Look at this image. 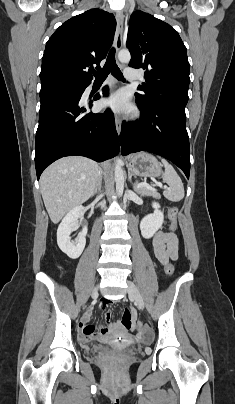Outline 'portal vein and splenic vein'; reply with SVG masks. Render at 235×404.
Returning <instances> with one entry per match:
<instances>
[{"label": "portal vein and splenic vein", "mask_w": 235, "mask_h": 404, "mask_svg": "<svg viewBox=\"0 0 235 404\" xmlns=\"http://www.w3.org/2000/svg\"><path fill=\"white\" fill-rule=\"evenodd\" d=\"M139 188H147V189H149V190L156 191V189H155L154 187L150 186V185L147 184V183H139V184L137 185V189H139ZM164 188L169 190V188L166 187V186H164Z\"/></svg>", "instance_id": "portal-vein-and-splenic-vein-1"}]
</instances>
